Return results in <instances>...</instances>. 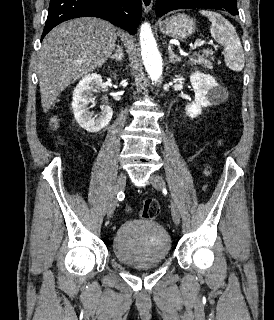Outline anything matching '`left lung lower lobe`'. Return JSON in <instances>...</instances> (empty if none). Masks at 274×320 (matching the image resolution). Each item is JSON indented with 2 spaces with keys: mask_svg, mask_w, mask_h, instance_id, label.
Returning <instances> with one entry per match:
<instances>
[{
  "mask_svg": "<svg viewBox=\"0 0 274 320\" xmlns=\"http://www.w3.org/2000/svg\"><path fill=\"white\" fill-rule=\"evenodd\" d=\"M210 8L227 11L238 15L236 0H158L155 4L156 14H164L177 9Z\"/></svg>",
  "mask_w": 274,
  "mask_h": 320,
  "instance_id": "left-lung-lower-lobe-1",
  "label": "left lung lower lobe"
}]
</instances>
